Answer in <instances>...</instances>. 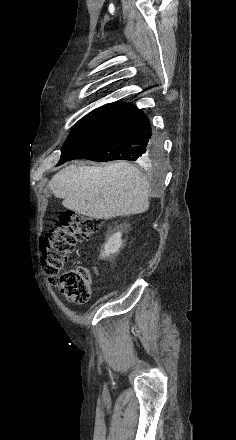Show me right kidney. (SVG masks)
Instances as JSON below:
<instances>
[{
    "instance_id": "right-kidney-1",
    "label": "right kidney",
    "mask_w": 236,
    "mask_h": 440,
    "mask_svg": "<svg viewBox=\"0 0 236 440\" xmlns=\"http://www.w3.org/2000/svg\"><path fill=\"white\" fill-rule=\"evenodd\" d=\"M122 233L120 231L113 234L104 245V251L101 253L103 258L108 257L110 254H115L119 251L122 245L121 240Z\"/></svg>"
}]
</instances>
